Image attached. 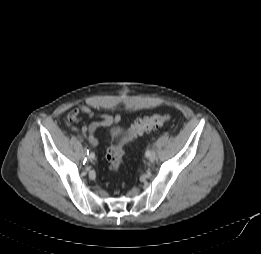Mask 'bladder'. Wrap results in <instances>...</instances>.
I'll use <instances>...</instances> for the list:
<instances>
[{"label":"bladder","instance_id":"obj_1","mask_svg":"<svg viewBox=\"0 0 261 254\" xmlns=\"http://www.w3.org/2000/svg\"><path fill=\"white\" fill-rule=\"evenodd\" d=\"M118 131H119V128H118V127H113V128L110 130V136H111V137L115 136Z\"/></svg>","mask_w":261,"mask_h":254}]
</instances>
